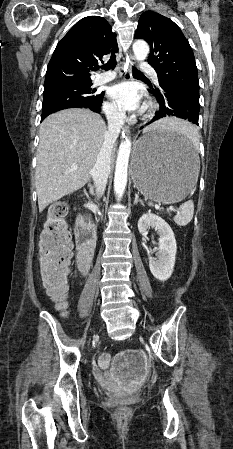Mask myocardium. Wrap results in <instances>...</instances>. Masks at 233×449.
Wrapping results in <instances>:
<instances>
[{
  "instance_id": "obj_1",
  "label": "myocardium",
  "mask_w": 233,
  "mask_h": 449,
  "mask_svg": "<svg viewBox=\"0 0 233 449\" xmlns=\"http://www.w3.org/2000/svg\"><path fill=\"white\" fill-rule=\"evenodd\" d=\"M153 109H154V104L152 102H148L146 105V109H145L146 116H149L152 113Z\"/></svg>"
}]
</instances>
